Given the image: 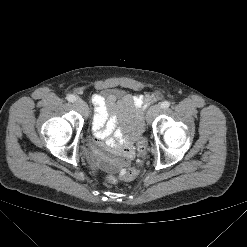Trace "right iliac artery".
I'll use <instances>...</instances> for the list:
<instances>
[{
	"mask_svg": "<svg viewBox=\"0 0 247 247\" xmlns=\"http://www.w3.org/2000/svg\"><path fill=\"white\" fill-rule=\"evenodd\" d=\"M66 99L69 101V102H74L76 101L77 97L72 95V94H69L67 95Z\"/></svg>",
	"mask_w": 247,
	"mask_h": 247,
	"instance_id": "82829eb1",
	"label": "right iliac artery"
}]
</instances>
